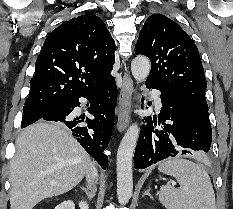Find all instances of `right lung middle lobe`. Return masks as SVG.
<instances>
[{"instance_id":"right-lung-middle-lobe-1","label":"right lung middle lobe","mask_w":233,"mask_h":209,"mask_svg":"<svg viewBox=\"0 0 233 209\" xmlns=\"http://www.w3.org/2000/svg\"><path fill=\"white\" fill-rule=\"evenodd\" d=\"M65 101H48L40 103H25L23 107V119L21 127L25 128L38 121L46 114L60 107Z\"/></svg>"}]
</instances>
